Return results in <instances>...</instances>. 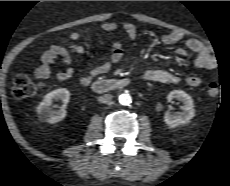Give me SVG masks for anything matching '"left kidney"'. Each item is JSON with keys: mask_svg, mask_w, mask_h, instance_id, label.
I'll return each instance as SVG.
<instances>
[{"mask_svg": "<svg viewBox=\"0 0 230 186\" xmlns=\"http://www.w3.org/2000/svg\"><path fill=\"white\" fill-rule=\"evenodd\" d=\"M173 99L183 102L184 106L182 112L171 114L167 111L165 113L164 121L170 128L186 124L195 116L193 99L190 95L182 90H173L167 95V100L170 102Z\"/></svg>", "mask_w": 230, "mask_h": 186, "instance_id": "obj_1", "label": "left kidney"}]
</instances>
